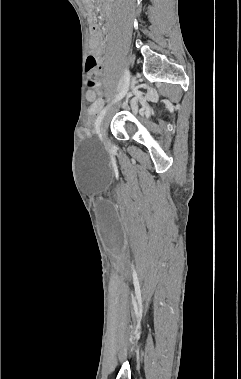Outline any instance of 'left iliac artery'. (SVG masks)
Wrapping results in <instances>:
<instances>
[{
    "instance_id": "44dca946",
    "label": "left iliac artery",
    "mask_w": 241,
    "mask_h": 379,
    "mask_svg": "<svg viewBox=\"0 0 241 379\" xmlns=\"http://www.w3.org/2000/svg\"><path fill=\"white\" fill-rule=\"evenodd\" d=\"M123 80H124V84H123V87L121 89V91L119 92V94L116 96V98L113 100V103L119 101L120 99H122L124 97V95L127 93L128 91V87H129V81H130V72H129V69H125L124 70V77H123ZM109 106H106L100 113L99 115L97 116V119L95 121V130H96V133L99 135L100 139H102V135L100 133V126H101V122L104 118V115L106 114L107 112V109H108Z\"/></svg>"
}]
</instances>
